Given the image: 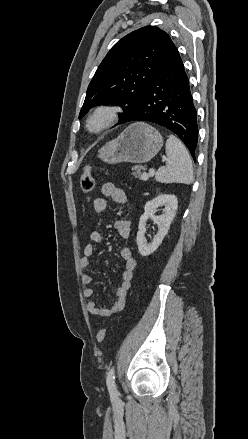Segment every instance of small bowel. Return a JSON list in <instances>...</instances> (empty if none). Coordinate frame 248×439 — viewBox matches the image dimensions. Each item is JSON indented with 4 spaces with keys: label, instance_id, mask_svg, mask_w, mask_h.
I'll use <instances>...</instances> for the list:
<instances>
[{
    "label": "small bowel",
    "instance_id": "obj_1",
    "mask_svg": "<svg viewBox=\"0 0 248 439\" xmlns=\"http://www.w3.org/2000/svg\"><path fill=\"white\" fill-rule=\"evenodd\" d=\"M101 193L104 197L111 198L116 204L124 205L126 203L127 196L125 191L111 182L104 183L101 186ZM106 208L107 201L105 198L98 197L93 201V209L97 214L104 212ZM115 229L119 237L123 239L129 238L130 222L125 218H119L116 220ZM89 238L90 242L84 247L83 256L80 259V267L82 269H87L90 266V258L95 252L94 245L103 241V233L100 229H94L90 233ZM119 255L124 261V270L121 274V281L115 291V301L111 307L98 306L96 304L93 300L94 290L89 286L92 282V277L87 273L81 275V282L85 285L83 295L88 299L86 308L92 315L106 318L121 311L125 306V298L131 285L133 273L136 268V261L132 256L130 248H122Z\"/></svg>",
    "mask_w": 248,
    "mask_h": 439
}]
</instances>
